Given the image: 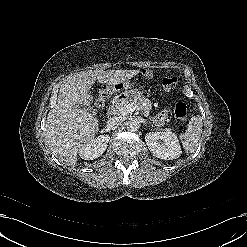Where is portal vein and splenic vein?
Masks as SVG:
<instances>
[{
  "label": "portal vein and splenic vein",
  "instance_id": "obj_1",
  "mask_svg": "<svg viewBox=\"0 0 247 247\" xmlns=\"http://www.w3.org/2000/svg\"><path fill=\"white\" fill-rule=\"evenodd\" d=\"M139 107L137 105H126L125 107L121 108V115H127L128 113H132L135 110H138Z\"/></svg>",
  "mask_w": 247,
  "mask_h": 247
}]
</instances>
